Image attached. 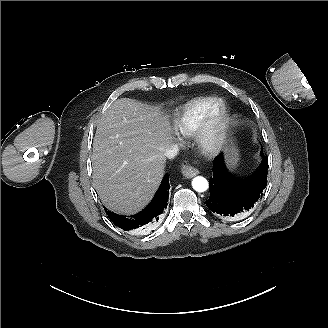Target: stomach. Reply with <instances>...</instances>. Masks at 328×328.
I'll use <instances>...</instances> for the list:
<instances>
[{"instance_id":"stomach-1","label":"stomach","mask_w":328,"mask_h":328,"mask_svg":"<svg viewBox=\"0 0 328 328\" xmlns=\"http://www.w3.org/2000/svg\"><path fill=\"white\" fill-rule=\"evenodd\" d=\"M223 134L224 137L221 142V148L224 152L226 167L232 171L234 170L240 161L239 149L234 139L226 133V131H221L219 135Z\"/></svg>"}]
</instances>
